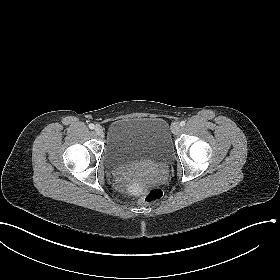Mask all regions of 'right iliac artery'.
I'll return each mask as SVG.
<instances>
[{
    "label": "right iliac artery",
    "mask_w": 280,
    "mask_h": 280,
    "mask_svg": "<svg viewBox=\"0 0 280 280\" xmlns=\"http://www.w3.org/2000/svg\"><path fill=\"white\" fill-rule=\"evenodd\" d=\"M94 127H95L94 124H92V123L89 124V128H90V129H94Z\"/></svg>",
    "instance_id": "obj_1"
}]
</instances>
